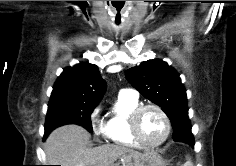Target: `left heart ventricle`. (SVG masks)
<instances>
[{
    "label": "left heart ventricle",
    "mask_w": 236,
    "mask_h": 166,
    "mask_svg": "<svg viewBox=\"0 0 236 166\" xmlns=\"http://www.w3.org/2000/svg\"><path fill=\"white\" fill-rule=\"evenodd\" d=\"M139 129L142 138L147 143H156L164 136L165 123L156 110L148 109L140 118Z\"/></svg>",
    "instance_id": "1"
}]
</instances>
